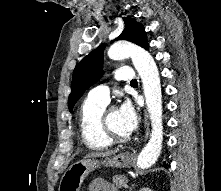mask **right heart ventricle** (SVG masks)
<instances>
[{
  "label": "right heart ventricle",
  "instance_id": "obj_1",
  "mask_svg": "<svg viewBox=\"0 0 221 191\" xmlns=\"http://www.w3.org/2000/svg\"><path fill=\"white\" fill-rule=\"evenodd\" d=\"M107 103L88 97L80 108L79 125L84 144L93 150H104L112 146L103 126V114Z\"/></svg>",
  "mask_w": 221,
  "mask_h": 191
}]
</instances>
